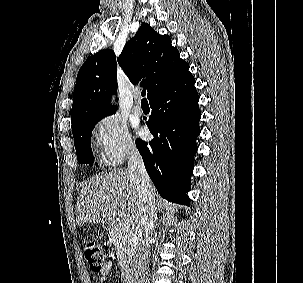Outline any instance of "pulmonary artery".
Returning <instances> with one entry per match:
<instances>
[{
	"mask_svg": "<svg viewBox=\"0 0 303 283\" xmlns=\"http://www.w3.org/2000/svg\"><path fill=\"white\" fill-rule=\"evenodd\" d=\"M134 99H135V103L133 105V113L136 114V115H142L143 114V108L141 106V103H140V93L139 92H136L135 95H134Z\"/></svg>",
	"mask_w": 303,
	"mask_h": 283,
	"instance_id": "1",
	"label": "pulmonary artery"
}]
</instances>
